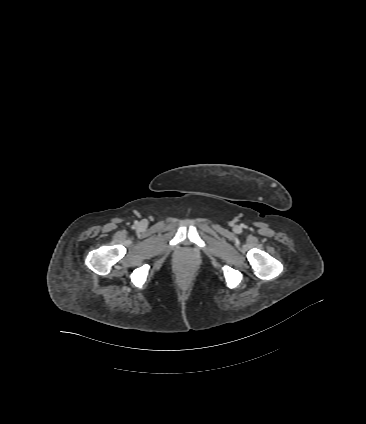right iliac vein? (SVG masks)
I'll return each mask as SVG.
<instances>
[{"instance_id":"obj_1","label":"right iliac vein","mask_w":366,"mask_h":424,"mask_svg":"<svg viewBox=\"0 0 366 424\" xmlns=\"http://www.w3.org/2000/svg\"><path fill=\"white\" fill-rule=\"evenodd\" d=\"M143 225H144V223H143V222H141V223H140V226H143Z\"/></svg>"}]
</instances>
